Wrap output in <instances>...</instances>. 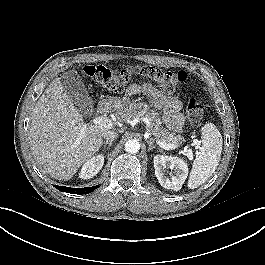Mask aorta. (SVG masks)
Returning a JSON list of instances; mask_svg holds the SVG:
<instances>
[{
    "label": "aorta",
    "mask_w": 265,
    "mask_h": 265,
    "mask_svg": "<svg viewBox=\"0 0 265 265\" xmlns=\"http://www.w3.org/2000/svg\"><path fill=\"white\" fill-rule=\"evenodd\" d=\"M125 151L130 154H135L140 150V144L136 139H130L125 143Z\"/></svg>",
    "instance_id": "762f6f07"
}]
</instances>
